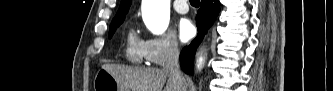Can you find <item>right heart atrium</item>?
I'll use <instances>...</instances> for the list:
<instances>
[{
  "instance_id": "obj_1",
  "label": "right heart atrium",
  "mask_w": 333,
  "mask_h": 91,
  "mask_svg": "<svg viewBox=\"0 0 333 91\" xmlns=\"http://www.w3.org/2000/svg\"><path fill=\"white\" fill-rule=\"evenodd\" d=\"M145 60L152 65H162L178 57L180 49L173 36L149 37L142 41Z\"/></svg>"
}]
</instances>
